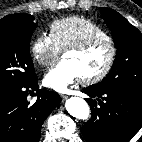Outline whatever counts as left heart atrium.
<instances>
[{
  "instance_id": "obj_1",
  "label": "left heart atrium",
  "mask_w": 142,
  "mask_h": 142,
  "mask_svg": "<svg viewBox=\"0 0 142 142\" xmlns=\"http://www.w3.org/2000/svg\"><path fill=\"white\" fill-rule=\"evenodd\" d=\"M80 78L81 76L75 65L64 59L45 75L44 81L48 87L58 92H64Z\"/></svg>"
}]
</instances>
